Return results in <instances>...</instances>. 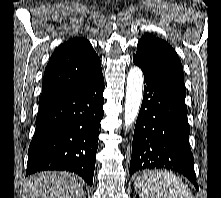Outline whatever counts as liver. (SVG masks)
I'll list each match as a JSON object with an SVG mask.
<instances>
[{
  "label": "liver",
  "instance_id": "6515ba94",
  "mask_svg": "<svg viewBox=\"0 0 221 198\" xmlns=\"http://www.w3.org/2000/svg\"><path fill=\"white\" fill-rule=\"evenodd\" d=\"M84 181L68 172L48 171L31 176L22 198H85Z\"/></svg>",
  "mask_w": 221,
  "mask_h": 198
}]
</instances>
